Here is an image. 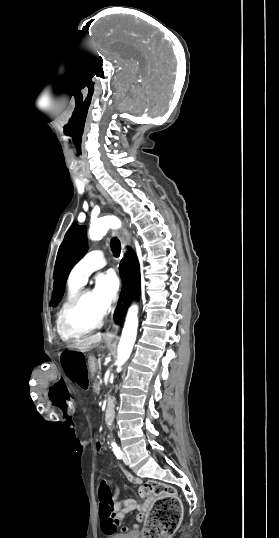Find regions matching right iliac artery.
Instances as JSON below:
<instances>
[{"label":"right iliac artery","mask_w":279,"mask_h":538,"mask_svg":"<svg viewBox=\"0 0 279 538\" xmlns=\"http://www.w3.org/2000/svg\"><path fill=\"white\" fill-rule=\"evenodd\" d=\"M114 453H115V456L117 457V459H122L123 453H122V451L120 449H116L114 451Z\"/></svg>","instance_id":"82829eb1"}]
</instances>
